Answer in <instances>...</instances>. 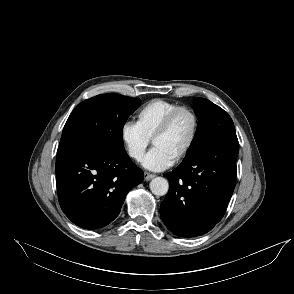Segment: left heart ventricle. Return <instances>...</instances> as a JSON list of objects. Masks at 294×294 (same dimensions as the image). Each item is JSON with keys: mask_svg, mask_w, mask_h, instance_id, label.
Wrapping results in <instances>:
<instances>
[{"mask_svg": "<svg viewBox=\"0 0 294 294\" xmlns=\"http://www.w3.org/2000/svg\"><path fill=\"white\" fill-rule=\"evenodd\" d=\"M193 128V121L188 113H181L175 119L167 133L156 139L154 146L161 148L176 159L187 145Z\"/></svg>", "mask_w": 294, "mask_h": 294, "instance_id": "obj_1", "label": "left heart ventricle"}]
</instances>
